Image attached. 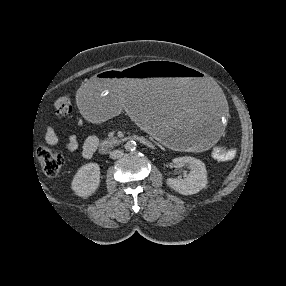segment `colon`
Masks as SVG:
<instances>
[{"label":"colon","mask_w":286,"mask_h":286,"mask_svg":"<svg viewBox=\"0 0 286 286\" xmlns=\"http://www.w3.org/2000/svg\"><path fill=\"white\" fill-rule=\"evenodd\" d=\"M52 107L57 115L66 116L72 111V99L68 95L60 96L54 100ZM36 154L44 174L50 177L56 176L63 165V156L44 146L38 147ZM213 155L220 160L230 159L226 148H214Z\"/></svg>","instance_id":"1"}]
</instances>
